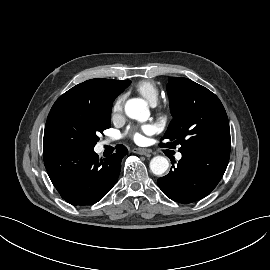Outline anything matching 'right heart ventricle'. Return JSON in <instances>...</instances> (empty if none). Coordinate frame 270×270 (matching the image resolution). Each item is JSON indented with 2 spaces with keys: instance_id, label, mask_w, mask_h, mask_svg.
Segmentation results:
<instances>
[{
  "instance_id": "obj_1",
  "label": "right heart ventricle",
  "mask_w": 270,
  "mask_h": 270,
  "mask_svg": "<svg viewBox=\"0 0 270 270\" xmlns=\"http://www.w3.org/2000/svg\"><path fill=\"white\" fill-rule=\"evenodd\" d=\"M135 90L144 97L151 105L157 103L160 95L159 88L151 80H141L136 86Z\"/></svg>"
}]
</instances>
